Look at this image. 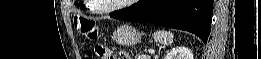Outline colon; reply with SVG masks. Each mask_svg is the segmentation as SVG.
I'll return each instance as SVG.
<instances>
[{
    "label": "colon",
    "mask_w": 261,
    "mask_h": 59,
    "mask_svg": "<svg viewBox=\"0 0 261 59\" xmlns=\"http://www.w3.org/2000/svg\"><path fill=\"white\" fill-rule=\"evenodd\" d=\"M76 28L90 41H95L98 38V26L91 19L76 18ZM95 53L101 59H115L114 51L106 45L97 43L94 47ZM121 55V52L119 53Z\"/></svg>",
    "instance_id": "colon-1"
}]
</instances>
